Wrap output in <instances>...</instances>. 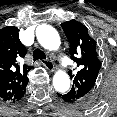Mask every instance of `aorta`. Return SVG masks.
Wrapping results in <instances>:
<instances>
[{"label":"aorta","mask_w":117,"mask_h":117,"mask_svg":"<svg viewBox=\"0 0 117 117\" xmlns=\"http://www.w3.org/2000/svg\"><path fill=\"white\" fill-rule=\"evenodd\" d=\"M40 45L48 50H58L61 44L57 30L50 25H40L36 31ZM53 86L59 93H65L70 88V78L65 71L58 70L53 77Z\"/></svg>","instance_id":"aorta-1"}]
</instances>
